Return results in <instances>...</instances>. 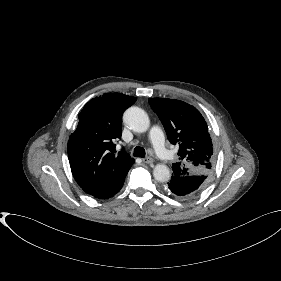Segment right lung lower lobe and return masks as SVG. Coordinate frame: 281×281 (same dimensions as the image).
<instances>
[{"label": "right lung lower lobe", "instance_id": "right-lung-lower-lobe-1", "mask_svg": "<svg viewBox=\"0 0 281 281\" xmlns=\"http://www.w3.org/2000/svg\"><path fill=\"white\" fill-rule=\"evenodd\" d=\"M124 181L115 189L113 190L110 194H108L107 196L103 197L102 199H107L112 197L113 195H115L123 186Z\"/></svg>", "mask_w": 281, "mask_h": 281}]
</instances>
